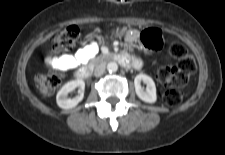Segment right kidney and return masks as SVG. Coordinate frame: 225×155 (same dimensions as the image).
<instances>
[{
	"mask_svg": "<svg viewBox=\"0 0 225 155\" xmlns=\"http://www.w3.org/2000/svg\"><path fill=\"white\" fill-rule=\"evenodd\" d=\"M76 88H78L79 95L74 98H68V94ZM84 89L85 82L83 80H73L66 83L57 93V105L63 109H70L77 106L84 97Z\"/></svg>",
	"mask_w": 225,
	"mask_h": 155,
	"instance_id": "ca27d5eb",
	"label": "right kidney"
}]
</instances>
